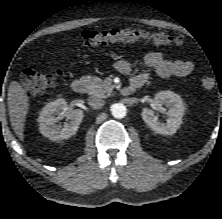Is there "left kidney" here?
Wrapping results in <instances>:
<instances>
[{
	"label": "left kidney",
	"mask_w": 222,
	"mask_h": 219,
	"mask_svg": "<svg viewBox=\"0 0 222 219\" xmlns=\"http://www.w3.org/2000/svg\"><path fill=\"white\" fill-rule=\"evenodd\" d=\"M163 105L169 109L166 123L160 122L155 116V112L149 108H144L141 116L143 121L156 133L173 135L182 124L185 106L182 98L171 91H161L155 95L153 108L158 109Z\"/></svg>",
	"instance_id": "obj_1"
}]
</instances>
